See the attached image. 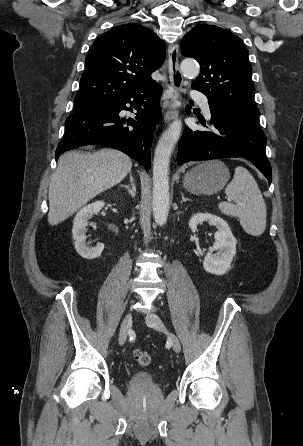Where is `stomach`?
Wrapping results in <instances>:
<instances>
[{
    "instance_id": "1",
    "label": "stomach",
    "mask_w": 303,
    "mask_h": 446,
    "mask_svg": "<svg viewBox=\"0 0 303 446\" xmlns=\"http://www.w3.org/2000/svg\"><path fill=\"white\" fill-rule=\"evenodd\" d=\"M229 178V169L223 162L207 161L185 174L183 186L193 194L211 195L222 190Z\"/></svg>"
}]
</instances>
